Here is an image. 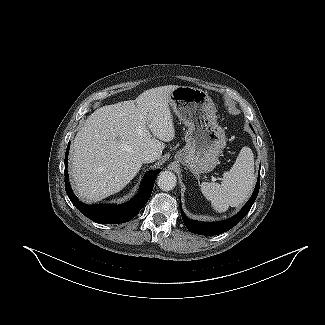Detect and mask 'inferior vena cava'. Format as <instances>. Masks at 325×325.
<instances>
[{"mask_svg": "<svg viewBox=\"0 0 325 325\" xmlns=\"http://www.w3.org/2000/svg\"><path fill=\"white\" fill-rule=\"evenodd\" d=\"M140 157L143 163H151L158 159V154L153 150H145Z\"/></svg>", "mask_w": 325, "mask_h": 325, "instance_id": "obj_1", "label": "inferior vena cava"}]
</instances>
